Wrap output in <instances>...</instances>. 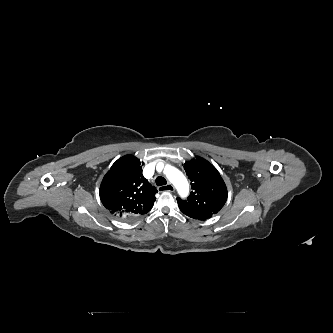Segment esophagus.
<instances>
[{"label":"esophagus","mask_w":333,"mask_h":333,"mask_svg":"<svg viewBox=\"0 0 333 333\" xmlns=\"http://www.w3.org/2000/svg\"><path fill=\"white\" fill-rule=\"evenodd\" d=\"M174 189L175 188L171 183H168L167 185L160 187V190H165V191H169V192H173Z\"/></svg>","instance_id":"1"}]
</instances>
